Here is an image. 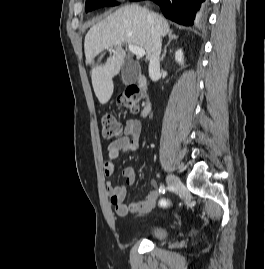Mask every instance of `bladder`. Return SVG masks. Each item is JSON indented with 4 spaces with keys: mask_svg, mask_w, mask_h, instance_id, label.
<instances>
[{
    "mask_svg": "<svg viewBox=\"0 0 265 269\" xmlns=\"http://www.w3.org/2000/svg\"><path fill=\"white\" fill-rule=\"evenodd\" d=\"M151 236L156 241H162L169 236V230L163 227H155L151 230Z\"/></svg>",
    "mask_w": 265,
    "mask_h": 269,
    "instance_id": "obj_1",
    "label": "bladder"
}]
</instances>
